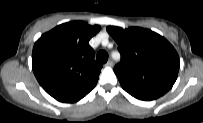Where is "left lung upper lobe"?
<instances>
[{
    "label": "left lung upper lobe",
    "instance_id": "obj_1",
    "mask_svg": "<svg viewBox=\"0 0 203 123\" xmlns=\"http://www.w3.org/2000/svg\"><path fill=\"white\" fill-rule=\"evenodd\" d=\"M108 33L118 44L121 62L114 68L120 83L164 95L174 85L179 56L161 35L140 27L109 26Z\"/></svg>",
    "mask_w": 203,
    "mask_h": 123
}]
</instances>
